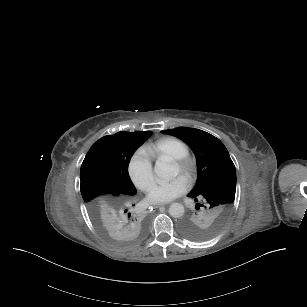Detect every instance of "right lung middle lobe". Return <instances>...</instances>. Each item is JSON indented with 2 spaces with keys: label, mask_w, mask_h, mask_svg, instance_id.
<instances>
[{
  "label": "right lung middle lobe",
  "mask_w": 307,
  "mask_h": 307,
  "mask_svg": "<svg viewBox=\"0 0 307 307\" xmlns=\"http://www.w3.org/2000/svg\"><path fill=\"white\" fill-rule=\"evenodd\" d=\"M83 200L112 191L117 187L115 172L94 156L86 155L80 172Z\"/></svg>",
  "instance_id": "right-lung-middle-lobe-1"
}]
</instances>
